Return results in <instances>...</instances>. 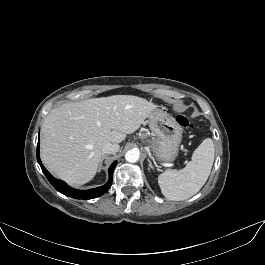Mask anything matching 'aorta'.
I'll return each instance as SVG.
<instances>
[{
	"mask_svg": "<svg viewBox=\"0 0 265 265\" xmlns=\"http://www.w3.org/2000/svg\"><path fill=\"white\" fill-rule=\"evenodd\" d=\"M140 153L136 149H132L126 152L125 159L130 163H135L139 160Z\"/></svg>",
	"mask_w": 265,
	"mask_h": 265,
	"instance_id": "obj_1",
	"label": "aorta"
}]
</instances>
